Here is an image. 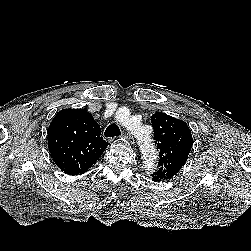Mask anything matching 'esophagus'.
<instances>
[{
	"instance_id": "34e87169",
	"label": "esophagus",
	"mask_w": 251,
	"mask_h": 251,
	"mask_svg": "<svg viewBox=\"0 0 251 251\" xmlns=\"http://www.w3.org/2000/svg\"><path fill=\"white\" fill-rule=\"evenodd\" d=\"M124 137L131 143L134 144L135 139L132 135H130L129 133H124Z\"/></svg>"
}]
</instances>
